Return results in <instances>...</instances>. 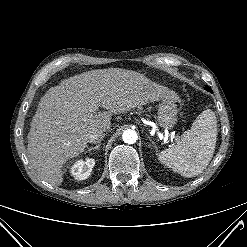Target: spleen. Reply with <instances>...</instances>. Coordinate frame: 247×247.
<instances>
[{
  "label": "spleen",
  "instance_id": "1",
  "mask_svg": "<svg viewBox=\"0 0 247 247\" xmlns=\"http://www.w3.org/2000/svg\"><path fill=\"white\" fill-rule=\"evenodd\" d=\"M217 139V120L210 109L203 111L177 145L161 151L159 161L190 178L202 173L213 157Z\"/></svg>",
  "mask_w": 247,
  "mask_h": 247
}]
</instances>
